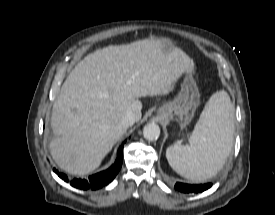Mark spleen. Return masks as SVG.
<instances>
[{
  "mask_svg": "<svg viewBox=\"0 0 275 215\" xmlns=\"http://www.w3.org/2000/svg\"><path fill=\"white\" fill-rule=\"evenodd\" d=\"M233 134V105L225 91H218L206 103L190 144L167 148V160L179 175L193 181H205L225 164L232 149Z\"/></svg>",
  "mask_w": 275,
  "mask_h": 215,
  "instance_id": "obj_1",
  "label": "spleen"
}]
</instances>
